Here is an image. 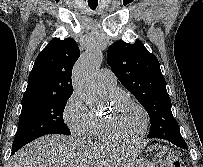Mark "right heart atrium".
<instances>
[{
    "mask_svg": "<svg viewBox=\"0 0 203 167\" xmlns=\"http://www.w3.org/2000/svg\"><path fill=\"white\" fill-rule=\"evenodd\" d=\"M62 117L73 134L83 136L88 133L92 113L77 92H73L66 100Z\"/></svg>",
    "mask_w": 203,
    "mask_h": 167,
    "instance_id": "1",
    "label": "right heart atrium"
}]
</instances>
